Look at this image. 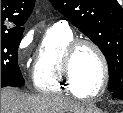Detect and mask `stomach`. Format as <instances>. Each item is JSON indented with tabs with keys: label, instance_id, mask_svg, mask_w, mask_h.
I'll use <instances>...</instances> for the list:
<instances>
[{
	"label": "stomach",
	"instance_id": "obj_1",
	"mask_svg": "<svg viewBox=\"0 0 123 113\" xmlns=\"http://www.w3.org/2000/svg\"><path fill=\"white\" fill-rule=\"evenodd\" d=\"M73 113H101V111L96 107H87L84 109L77 110Z\"/></svg>",
	"mask_w": 123,
	"mask_h": 113
}]
</instances>
